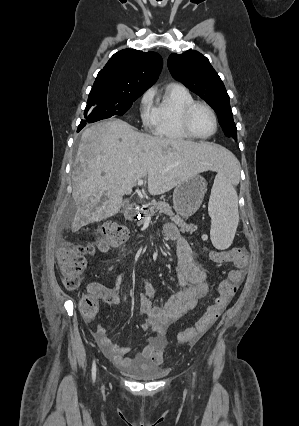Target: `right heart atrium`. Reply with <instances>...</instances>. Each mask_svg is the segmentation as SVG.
<instances>
[{"instance_id": "right-heart-atrium-1", "label": "right heart atrium", "mask_w": 299, "mask_h": 426, "mask_svg": "<svg viewBox=\"0 0 299 426\" xmlns=\"http://www.w3.org/2000/svg\"><path fill=\"white\" fill-rule=\"evenodd\" d=\"M154 92L147 90L140 99V118L145 127L151 128L155 122V108L152 105Z\"/></svg>"}]
</instances>
